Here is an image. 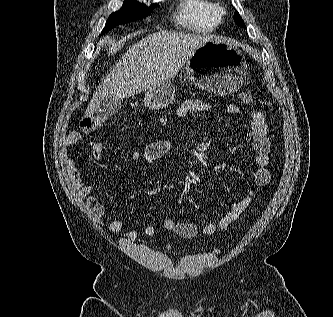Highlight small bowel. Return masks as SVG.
<instances>
[{
	"mask_svg": "<svg viewBox=\"0 0 333 317\" xmlns=\"http://www.w3.org/2000/svg\"><path fill=\"white\" fill-rule=\"evenodd\" d=\"M216 110V107L200 99H188L183 101L176 109V115L183 118L189 113H208ZM228 112L233 115L242 114V109L237 105H230ZM250 118V130L252 138V147L256 153V169L253 175V184L245 189L241 200L234 202L229 210L217 221L205 225L201 232L205 235H211L217 230H223L236 221L241 214L251 205L256 197L257 189L265 187L271 180L269 171L271 143L269 139V128L266 117L259 111H250L247 113ZM81 139L78 132H71L64 142V158L67 173L77 191V193L86 199V206L90 213L101 219L105 215V208L99 199L95 196L93 187L83 182L81 174L76 166L75 160L70 153V149ZM173 148V143L168 140L155 141L148 144L143 151H133L129 159L132 162H144L152 164L162 158ZM103 143L98 141L93 147V157L99 159L102 155ZM165 229L174 231L183 238H192L199 232V228L194 223L180 222L174 218H166L163 222ZM123 228L122 221L115 219L109 224V230L113 234L121 233ZM145 233L152 236L156 233V227L148 225ZM138 235L136 228H131L122 233L126 239H135Z\"/></svg>",
	"mask_w": 333,
	"mask_h": 317,
	"instance_id": "small-bowel-1",
	"label": "small bowel"
}]
</instances>
